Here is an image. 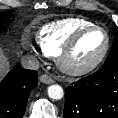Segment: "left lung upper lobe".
<instances>
[{
  "label": "left lung upper lobe",
  "instance_id": "5c2ea615",
  "mask_svg": "<svg viewBox=\"0 0 118 118\" xmlns=\"http://www.w3.org/2000/svg\"><path fill=\"white\" fill-rule=\"evenodd\" d=\"M113 34L115 39L113 41L111 52L106 59L104 66L118 63V27L115 24L113 25Z\"/></svg>",
  "mask_w": 118,
  "mask_h": 118
}]
</instances>
